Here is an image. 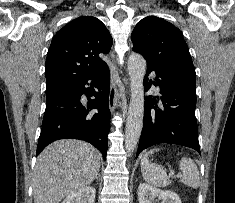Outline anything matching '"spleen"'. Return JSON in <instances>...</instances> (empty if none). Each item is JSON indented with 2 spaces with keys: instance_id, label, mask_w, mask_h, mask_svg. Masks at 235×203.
<instances>
[{
  "instance_id": "3e777b00",
  "label": "spleen",
  "mask_w": 235,
  "mask_h": 203,
  "mask_svg": "<svg viewBox=\"0 0 235 203\" xmlns=\"http://www.w3.org/2000/svg\"><path fill=\"white\" fill-rule=\"evenodd\" d=\"M159 149H152L146 152L141 159V173L143 178L150 184L158 187H166L171 181L166 174L163 166L150 163L148 156ZM183 175L181 182L191 188H198L200 185V176L195 162L191 158L183 157L179 163Z\"/></svg>"
}]
</instances>
